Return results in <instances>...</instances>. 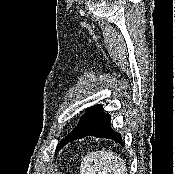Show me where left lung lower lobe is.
<instances>
[{"mask_svg":"<svg viewBox=\"0 0 175 174\" xmlns=\"http://www.w3.org/2000/svg\"><path fill=\"white\" fill-rule=\"evenodd\" d=\"M110 119V115L104 112L101 105L87 108L78 125L63 140L62 146L64 147L73 140L81 139L89 135L98 138H109L116 143L123 144L121 134L111 129Z\"/></svg>","mask_w":175,"mask_h":174,"instance_id":"left-lung-lower-lobe-1","label":"left lung lower lobe"}]
</instances>
